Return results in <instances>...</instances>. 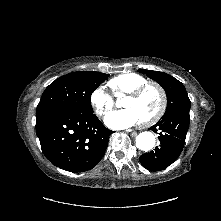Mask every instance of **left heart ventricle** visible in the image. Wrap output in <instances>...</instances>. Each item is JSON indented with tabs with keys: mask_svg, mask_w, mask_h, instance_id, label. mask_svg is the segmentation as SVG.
<instances>
[{
	"mask_svg": "<svg viewBox=\"0 0 221 221\" xmlns=\"http://www.w3.org/2000/svg\"><path fill=\"white\" fill-rule=\"evenodd\" d=\"M160 106V97L154 88H148L140 97H126L122 102V107L133 110L140 121L151 117Z\"/></svg>",
	"mask_w": 221,
	"mask_h": 221,
	"instance_id": "obj_1",
	"label": "left heart ventricle"
}]
</instances>
